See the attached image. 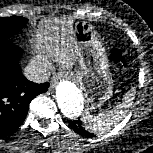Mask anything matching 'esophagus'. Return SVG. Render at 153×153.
<instances>
[{"label":"esophagus","instance_id":"34e87169","mask_svg":"<svg viewBox=\"0 0 153 153\" xmlns=\"http://www.w3.org/2000/svg\"><path fill=\"white\" fill-rule=\"evenodd\" d=\"M63 76H66V75H65V74H60V75H59V77H63ZM56 79H57V78H54V79L52 80V84H51V86H50V88H49L50 91L53 90V88H54V82H56Z\"/></svg>","mask_w":153,"mask_h":153}]
</instances>
